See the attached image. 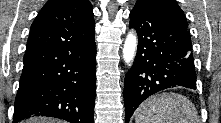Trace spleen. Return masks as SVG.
Returning a JSON list of instances; mask_svg holds the SVG:
<instances>
[{
    "mask_svg": "<svg viewBox=\"0 0 221 123\" xmlns=\"http://www.w3.org/2000/svg\"><path fill=\"white\" fill-rule=\"evenodd\" d=\"M135 122L200 123L194 104L176 93H163L144 101L135 111Z\"/></svg>",
    "mask_w": 221,
    "mask_h": 123,
    "instance_id": "1",
    "label": "spleen"
}]
</instances>
